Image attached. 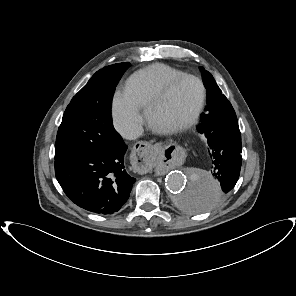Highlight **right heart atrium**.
I'll list each match as a JSON object with an SVG mask.
<instances>
[{
  "label": "right heart atrium",
  "mask_w": 296,
  "mask_h": 296,
  "mask_svg": "<svg viewBox=\"0 0 296 296\" xmlns=\"http://www.w3.org/2000/svg\"><path fill=\"white\" fill-rule=\"evenodd\" d=\"M113 122L126 138H133L143 122L141 108L126 91H116L112 101Z\"/></svg>",
  "instance_id": "right-heart-atrium-1"
}]
</instances>
